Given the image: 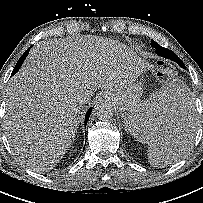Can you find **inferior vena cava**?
I'll return each mask as SVG.
<instances>
[{
	"label": "inferior vena cava",
	"instance_id": "obj_1",
	"mask_svg": "<svg viewBox=\"0 0 203 203\" xmlns=\"http://www.w3.org/2000/svg\"><path fill=\"white\" fill-rule=\"evenodd\" d=\"M83 102H84L83 99L79 100V103H83Z\"/></svg>",
	"mask_w": 203,
	"mask_h": 203
}]
</instances>
